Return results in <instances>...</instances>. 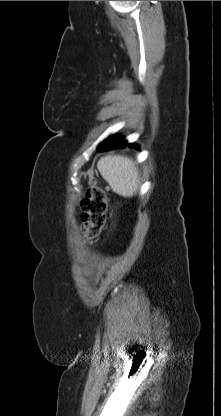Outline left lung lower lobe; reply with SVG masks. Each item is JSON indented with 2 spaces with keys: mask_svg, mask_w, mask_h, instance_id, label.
<instances>
[{
  "mask_svg": "<svg viewBox=\"0 0 221 416\" xmlns=\"http://www.w3.org/2000/svg\"><path fill=\"white\" fill-rule=\"evenodd\" d=\"M126 145H128L129 147H135V148L138 147L135 144H127V142L124 141L123 138L119 137L114 140H105L98 146L97 150L102 152V151L111 150V149H115L119 147H125Z\"/></svg>",
  "mask_w": 221,
  "mask_h": 416,
  "instance_id": "obj_1",
  "label": "left lung lower lobe"
}]
</instances>
